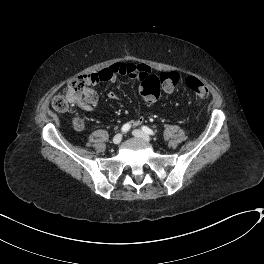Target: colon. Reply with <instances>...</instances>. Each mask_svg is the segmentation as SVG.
I'll use <instances>...</instances> for the list:
<instances>
[{
  "label": "colon",
  "instance_id": "colon-1",
  "mask_svg": "<svg viewBox=\"0 0 264 264\" xmlns=\"http://www.w3.org/2000/svg\"><path fill=\"white\" fill-rule=\"evenodd\" d=\"M129 70L124 66L117 68L119 74H126ZM179 73L176 71L163 72L159 76H149L140 86V94L146 100L156 98L161 89L173 90L179 83ZM187 86L193 91L199 99L208 97V89L197 78L190 76L186 79ZM98 94L92 88L90 83L82 77L69 81L63 88L62 93L56 94L52 99V107L56 111H67L72 107H78L81 110H88L96 102ZM74 125L77 129H83L86 126V119L79 115L74 119Z\"/></svg>",
  "mask_w": 264,
  "mask_h": 264
}]
</instances>
